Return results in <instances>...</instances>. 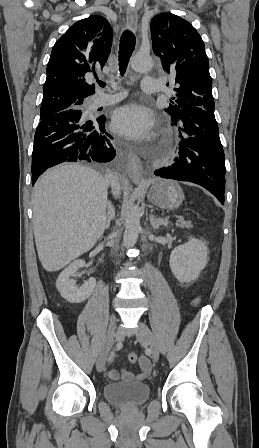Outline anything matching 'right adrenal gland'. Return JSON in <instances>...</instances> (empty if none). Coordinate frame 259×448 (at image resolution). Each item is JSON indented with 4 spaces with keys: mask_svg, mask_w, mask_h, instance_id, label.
<instances>
[{
    "mask_svg": "<svg viewBox=\"0 0 259 448\" xmlns=\"http://www.w3.org/2000/svg\"><path fill=\"white\" fill-rule=\"evenodd\" d=\"M107 210H108V212H107V224H106L105 230H109L110 224H111V220H115L114 208H113L112 204H110V202H108Z\"/></svg>",
    "mask_w": 259,
    "mask_h": 448,
    "instance_id": "2a0ac1e0",
    "label": "right adrenal gland"
}]
</instances>
